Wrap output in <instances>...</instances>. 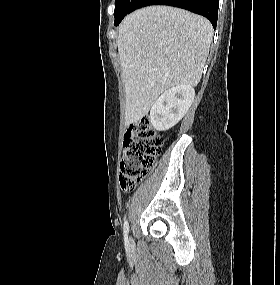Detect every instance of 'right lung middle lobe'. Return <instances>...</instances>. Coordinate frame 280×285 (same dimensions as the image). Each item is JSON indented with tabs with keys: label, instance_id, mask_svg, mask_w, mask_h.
Masks as SVG:
<instances>
[{
	"label": "right lung middle lobe",
	"instance_id": "right-lung-middle-lobe-1",
	"mask_svg": "<svg viewBox=\"0 0 280 285\" xmlns=\"http://www.w3.org/2000/svg\"><path fill=\"white\" fill-rule=\"evenodd\" d=\"M137 0H116L114 11V25L121 22L122 19L130 12H132L135 2Z\"/></svg>",
	"mask_w": 280,
	"mask_h": 285
}]
</instances>
